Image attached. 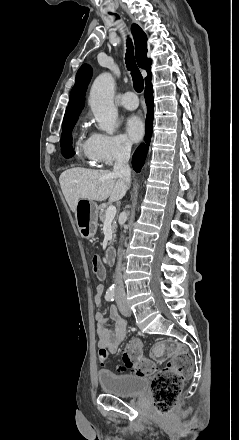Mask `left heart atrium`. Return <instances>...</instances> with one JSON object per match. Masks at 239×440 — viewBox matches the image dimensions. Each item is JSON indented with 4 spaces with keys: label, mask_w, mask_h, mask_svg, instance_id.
Masks as SVG:
<instances>
[{
    "label": "left heart atrium",
    "mask_w": 239,
    "mask_h": 440,
    "mask_svg": "<svg viewBox=\"0 0 239 440\" xmlns=\"http://www.w3.org/2000/svg\"><path fill=\"white\" fill-rule=\"evenodd\" d=\"M121 125L128 141H137L141 138L143 125L138 116L130 114L124 117Z\"/></svg>",
    "instance_id": "1"
}]
</instances>
